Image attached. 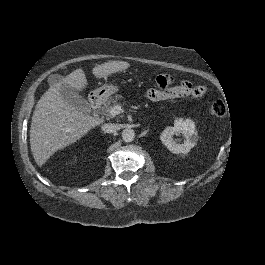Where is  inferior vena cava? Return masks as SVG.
Masks as SVG:
<instances>
[{
    "label": "inferior vena cava",
    "instance_id": "1",
    "mask_svg": "<svg viewBox=\"0 0 265 265\" xmlns=\"http://www.w3.org/2000/svg\"><path fill=\"white\" fill-rule=\"evenodd\" d=\"M102 130L106 133H115L117 130H119V125L112 123L103 124Z\"/></svg>",
    "mask_w": 265,
    "mask_h": 265
}]
</instances>
